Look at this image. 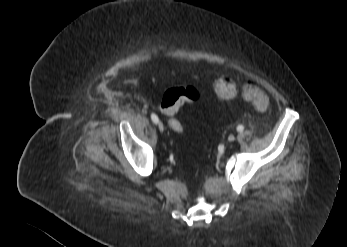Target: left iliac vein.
<instances>
[{
	"label": "left iliac vein",
	"instance_id": "left-iliac-vein-1",
	"mask_svg": "<svg viewBox=\"0 0 347 247\" xmlns=\"http://www.w3.org/2000/svg\"><path fill=\"white\" fill-rule=\"evenodd\" d=\"M234 140H235V136L234 135H229L228 141L229 142H233Z\"/></svg>",
	"mask_w": 347,
	"mask_h": 247
}]
</instances>
